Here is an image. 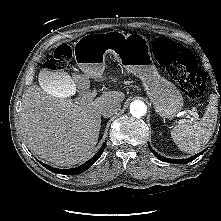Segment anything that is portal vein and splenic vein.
Returning a JSON list of instances; mask_svg holds the SVG:
<instances>
[{
    "mask_svg": "<svg viewBox=\"0 0 221 221\" xmlns=\"http://www.w3.org/2000/svg\"><path fill=\"white\" fill-rule=\"evenodd\" d=\"M52 92H53V94L58 95L57 92H55V91H52ZM91 96H92V97H95V93L92 92V93H91ZM185 113L193 116V117L191 118V121H193L194 119H197V118L199 117L198 113H196V112H194V111H191V110H186Z\"/></svg>",
    "mask_w": 221,
    "mask_h": 221,
    "instance_id": "obj_1",
    "label": "portal vein and splenic vein"
}]
</instances>
